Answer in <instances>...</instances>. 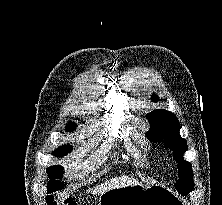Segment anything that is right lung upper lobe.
<instances>
[{
  "mask_svg": "<svg viewBox=\"0 0 222 205\" xmlns=\"http://www.w3.org/2000/svg\"><path fill=\"white\" fill-rule=\"evenodd\" d=\"M71 125H74V123H73V122H70L67 126H71Z\"/></svg>",
  "mask_w": 222,
  "mask_h": 205,
  "instance_id": "1",
  "label": "right lung upper lobe"
}]
</instances>
